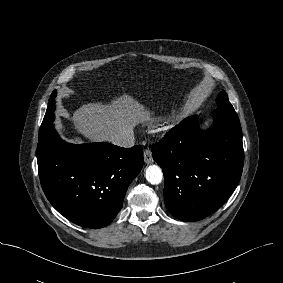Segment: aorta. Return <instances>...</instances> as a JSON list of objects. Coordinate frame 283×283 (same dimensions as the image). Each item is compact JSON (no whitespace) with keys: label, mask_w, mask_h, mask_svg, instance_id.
Returning a JSON list of instances; mask_svg holds the SVG:
<instances>
[{"label":"aorta","mask_w":283,"mask_h":283,"mask_svg":"<svg viewBox=\"0 0 283 283\" xmlns=\"http://www.w3.org/2000/svg\"><path fill=\"white\" fill-rule=\"evenodd\" d=\"M147 181L153 185H158L162 182L163 173L158 165H150L145 172Z\"/></svg>","instance_id":"1"}]
</instances>
